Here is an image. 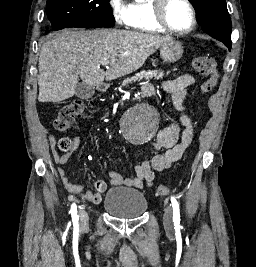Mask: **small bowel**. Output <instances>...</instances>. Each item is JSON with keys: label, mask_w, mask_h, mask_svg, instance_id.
Listing matches in <instances>:
<instances>
[{"label": "small bowel", "mask_w": 256, "mask_h": 267, "mask_svg": "<svg viewBox=\"0 0 256 267\" xmlns=\"http://www.w3.org/2000/svg\"><path fill=\"white\" fill-rule=\"evenodd\" d=\"M194 83V77L190 74H183L175 79L166 80L161 83L162 90L168 95L169 102L177 110H182V102L186 89ZM145 96L155 95L153 86H145L142 89ZM183 128L181 141L177 143L180 128ZM193 139V126L190 119L181 114L178 120H172L166 127L162 128L155 139L153 148L157 151L164 149L163 152L155 154L150 161L144 160L135 167V173L131 177L110 171L108 174L109 184L113 187L129 186L134 188L150 187L155 178V172H161L169 168L174 162L178 161L186 148ZM52 153L55 163L58 165L57 174L64 188L73 194L81 195L93 204L102 201V194L107 190V183L98 179L94 182L95 191L84 192V186L80 183H72L66 175L64 165L69 160L71 154L79 147L80 138L74 137L65 153L59 154L55 149V138L51 137Z\"/></svg>", "instance_id": "1"}]
</instances>
